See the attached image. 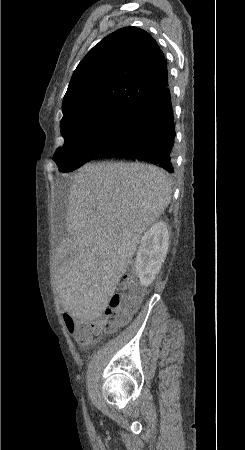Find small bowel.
Masks as SVG:
<instances>
[{"label":"small bowel","instance_id":"obj_1","mask_svg":"<svg viewBox=\"0 0 245 450\" xmlns=\"http://www.w3.org/2000/svg\"><path fill=\"white\" fill-rule=\"evenodd\" d=\"M71 286L73 288L79 286V282L77 280H73L71 283ZM62 310H63V318L65 321V324L67 325L68 321H72L74 323L77 322H81L83 321L82 318L78 317L74 308V304H73V300L70 297H67L64 302H63V306H62ZM71 334L73 335L74 339L83 346H88L91 344H95L99 341L98 338L93 339L92 336L90 335V337L87 340H81L79 338V335L75 332V331H70Z\"/></svg>","mask_w":245,"mask_h":450}]
</instances>
